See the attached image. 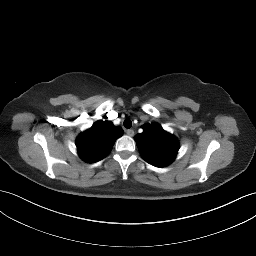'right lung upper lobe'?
Masks as SVG:
<instances>
[{
	"label": "right lung upper lobe",
	"mask_w": 256,
	"mask_h": 256,
	"mask_svg": "<svg viewBox=\"0 0 256 256\" xmlns=\"http://www.w3.org/2000/svg\"><path fill=\"white\" fill-rule=\"evenodd\" d=\"M122 134V128L114 126L110 121H96L90 129L77 137L78 154L88 163L98 162L110 153L114 142Z\"/></svg>",
	"instance_id": "cb5924a9"
}]
</instances>
